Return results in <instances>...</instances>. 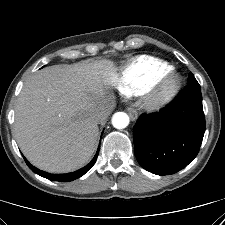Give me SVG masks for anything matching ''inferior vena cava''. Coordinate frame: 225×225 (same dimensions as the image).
I'll list each match as a JSON object with an SVG mask.
<instances>
[{
	"mask_svg": "<svg viewBox=\"0 0 225 225\" xmlns=\"http://www.w3.org/2000/svg\"><path fill=\"white\" fill-rule=\"evenodd\" d=\"M114 106V102L111 100L107 104H105L100 110H98L94 114V119L97 123H102L106 120L108 115L110 114L112 108Z\"/></svg>",
	"mask_w": 225,
	"mask_h": 225,
	"instance_id": "inferior-vena-cava-1",
	"label": "inferior vena cava"
}]
</instances>
